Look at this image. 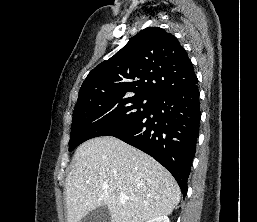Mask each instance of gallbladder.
I'll return each instance as SVG.
<instances>
[{
	"instance_id": "obj_1",
	"label": "gallbladder",
	"mask_w": 257,
	"mask_h": 222,
	"mask_svg": "<svg viewBox=\"0 0 257 222\" xmlns=\"http://www.w3.org/2000/svg\"><path fill=\"white\" fill-rule=\"evenodd\" d=\"M80 222H111V214L107 206H99L83 217Z\"/></svg>"
}]
</instances>
